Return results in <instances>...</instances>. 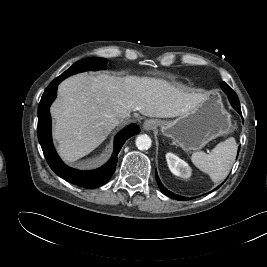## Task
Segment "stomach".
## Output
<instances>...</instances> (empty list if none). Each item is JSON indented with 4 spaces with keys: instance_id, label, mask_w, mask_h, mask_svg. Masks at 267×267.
Here are the masks:
<instances>
[{
    "instance_id": "stomach-1",
    "label": "stomach",
    "mask_w": 267,
    "mask_h": 267,
    "mask_svg": "<svg viewBox=\"0 0 267 267\" xmlns=\"http://www.w3.org/2000/svg\"><path fill=\"white\" fill-rule=\"evenodd\" d=\"M164 136L185 151H198L231 132V116L217 94L206 95L197 107L172 121L160 122Z\"/></svg>"
}]
</instances>
